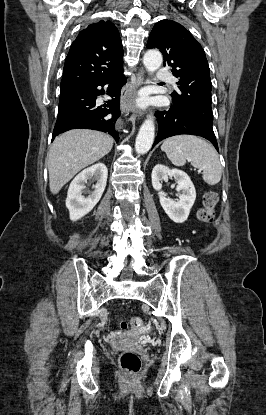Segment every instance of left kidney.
<instances>
[{"label":"left kidney","mask_w":266,"mask_h":415,"mask_svg":"<svg viewBox=\"0 0 266 415\" xmlns=\"http://www.w3.org/2000/svg\"><path fill=\"white\" fill-rule=\"evenodd\" d=\"M151 177L153 188L159 192L160 204L168 217L176 223L185 222L196 199L195 187L189 176L182 170L158 164L153 168ZM168 177H173L177 183L176 190L180 192L177 202L166 198L162 191V182Z\"/></svg>","instance_id":"left-kidney-1"}]
</instances>
